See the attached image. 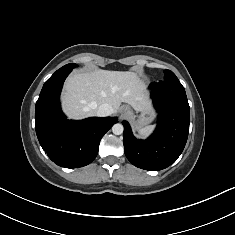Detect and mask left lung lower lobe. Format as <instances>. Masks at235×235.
<instances>
[{"mask_svg": "<svg viewBox=\"0 0 235 235\" xmlns=\"http://www.w3.org/2000/svg\"><path fill=\"white\" fill-rule=\"evenodd\" d=\"M150 88L159 112L156 130L146 140H138L129 123L123 121V144L125 155L133 165L157 171L170 166L182 153L189 133L190 108L180 82H153Z\"/></svg>", "mask_w": 235, "mask_h": 235, "instance_id": "left-lung-lower-lobe-1", "label": "left lung lower lobe"}]
</instances>
